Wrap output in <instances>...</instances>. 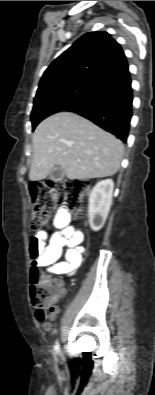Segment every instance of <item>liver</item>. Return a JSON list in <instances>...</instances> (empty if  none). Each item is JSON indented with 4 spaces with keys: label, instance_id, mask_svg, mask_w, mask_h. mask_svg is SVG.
<instances>
[{
    "label": "liver",
    "instance_id": "1",
    "mask_svg": "<svg viewBox=\"0 0 155 395\" xmlns=\"http://www.w3.org/2000/svg\"><path fill=\"white\" fill-rule=\"evenodd\" d=\"M34 155L29 179H45L61 167L69 179L112 176L120 168L123 143L112 134L71 112L43 120L32 136Z\"/></svg>",
    "mask_w": 155,
    "mask_h": 395
}]
</instances>
